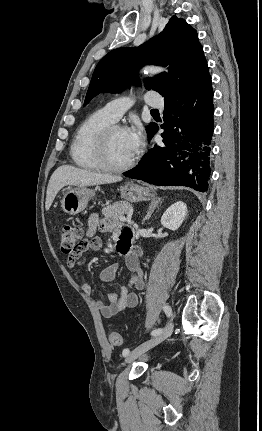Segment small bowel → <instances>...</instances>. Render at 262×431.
Listing matches in <instances>:
<instances>
[{
	"instance_id": "c3829d8e",
	"label": "small bowel",
	"mask_w": 262,
	"mask_h": 431,
	"mask_svg": "<svg viewBox=\"0 0 262 431\" xmlns=\"http://www.w3.org/2000/svg\"><path fill=\"white\" fill-rule=\"evenodd\" d=\"M96 230L102 232L112 231L117 238H119L120 243H123V248H128L125 255V265L130 272V281L128 286H121L118 290L110 292L108 294V301H97V307L101 314L105 318H111L116 315L119 311L125 308H133L137 306L139 297L136 291H140L144 288L145 283L143 279V268L140 263V258L142 256V251L137 246H131L130 241L133 237V229L124 226L122 224H114L108 220L100 219L98 215H92L88 220V230L86 233L87 237H95ZM118 244V246H119ZM101 248V243L98 241L96 245L89 248L90 251H98ZM119 248V247H118ZM70 256L66 264L68 267L73 268L76 264L83 262L81 256ZM118 266L112 265L104 269L101 272L102 280L109 282L112 281ZM78 287L84 293H91V285L83 280L78 281ZM133 289L134 291H132Z\"/></svg>"
}]
</instances>
